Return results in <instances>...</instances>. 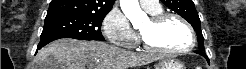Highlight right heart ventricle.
I'll list each match as a JSON object with an SVG mask.
<instances>
[{"label":"right heart ventricle","mask_w":246,"mask_h":69,"mask_svg":"<svg viewBox=\"0 0 246 69\" xmlns=\"http://www.w3.org/2000/svg\"><path fill=\"white\" fill-rule=\"evenodd\" d=\"M149 14H151V15H157V14H161L162 13V10H161V8L159 9V10H157V11H154V12H148Z\"/></svg>","instance_id":"right-heart-ventricle-1"}]
</instances>
